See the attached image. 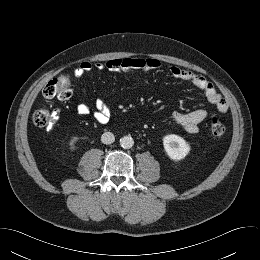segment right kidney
Instances as JSON below:
<instances>
[{"label":"right kidney","mask_w":260,"mask_h":260,"mask_svg":"<svg viewBox=\"0 0 260 260\" xmlns=\"http://www.w3.org/2000/svg\"><path fill=\"white\" fill-rule=\"evenodd\" d=\"M78 138L77 137H73L71 139V141L69 142L70 145H74L77 142Z\"/></svg>","instance_id":"right-kidney-1"}]
</instances>
